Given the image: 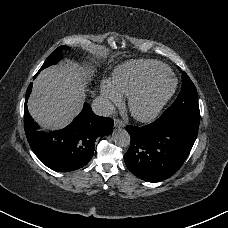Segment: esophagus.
<instances>
[{
	"label": "esophagus",
	"instance_id": "esophagus-1",
	"mask_svg": "<svg viewBox=\"0 0 228 228\" xmlns=\"http://www.w3.org/2000/svg\"><path fill=\"white\" fill-rule=\"evenodd\" d=\"M114 126H115V127H124L125 125H124V123H123L122 120H120V119H115V121H114Z\"/></svg>",
	"mask_w": 228,
	"mask_h": 228
}]
</instances>
